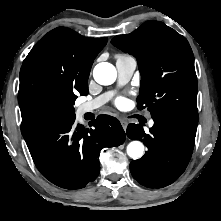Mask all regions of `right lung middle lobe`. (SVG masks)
Instances as JSON below:
<instances>
[{"mask_svg": "<svg viewBox=\"0 0 221 221\" xmlns=\"http://www.w3.org/2000/svg\"><path fill=\"white\" fill-rule=\"evenodd\" d=\"M88 90L83 94L87 95ZM76 94H69L60 100L54 101L47 105L44 112V119L52 118H65L74 116V102L76 100Z\"/></svg>", "mask_w": 221, "mask_h": 221, "instance_id": "obj_1", "label": "right lung middle lobe"}]
</instances>
